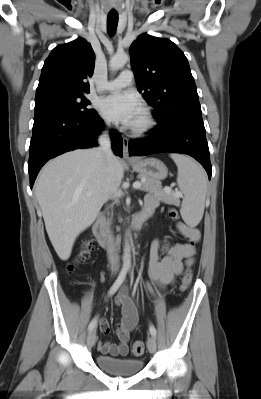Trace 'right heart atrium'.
<instances>
[{
  "label": "right heart atrium",
  "instance_id": "d8ad5b80",
  "mask_svg": "<svg viewBox=\"0 0 261 399\" xmlns=\"http://www.w3.org/2000/svg\"><path fill=\"white\" fill-rule=\"evenodd\" d=\"M104 125H105L106 127H109V122H108V121H105V122H104Z\"/></svg>",
  "mask_w": 261,
  "mask_h": 399
}]
</instances>
